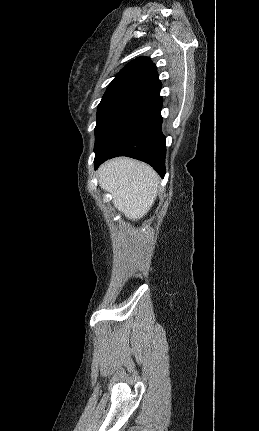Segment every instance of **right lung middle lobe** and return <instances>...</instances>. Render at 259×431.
Segmentation results:
<instances>
[{
    "mask_svg": "<svg viewBox=\"0 0 259 431\" xmlns=\"http://www.w3.org/2000/svg\"><path fill=\"white\" fill-rule=\"evenodd\" d=\"M151 94L150 89L137 83H130L122 88L105 92L97 110L94 148L100 144L125 113Z\"/></svg>",
    "mask_w": 259,
    "mask_h": 431,
    "instance_id": "1",
    "label": "right lung middle lobe"
}]
</instances>
